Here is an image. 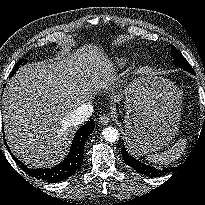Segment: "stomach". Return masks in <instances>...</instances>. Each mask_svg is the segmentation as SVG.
<instances>
[{
	"mask_svg": "<svg viewBox=\"0 0 205 205\" xmlns=\"http://www.w3.org/2000/svg\"><path fill=\"white\" fill-rule=\"evenodd\" d=\"M126 90V136L139 152L167 146L176 136L182 100L178 89L165 80H150L143 70Z\"/></svg>",
	"mask_w": 205,
	"mask_h": 205,
	"instance_id": "obj_1",
	"label": "stomach"
}]
</instances>
